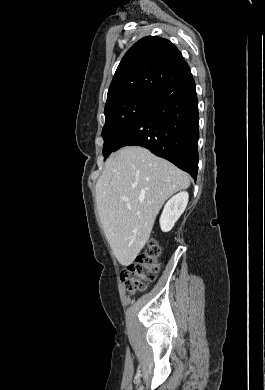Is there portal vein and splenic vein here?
<instances>
[{
	"mask_svg": "<svg viewBox=\"0 0 265 390\" xmlns=\"http://www.w3.org/2000/svg\"><path fill=\"white\" fill-rule=\"evenodd\" d=\"M122 200H123V201H125V202H127V201H128V199H127V198H125V197H123V198H122Z\"/></svg>",
	"mask_w": 265,
	"mask_h": 390,
	"instance_id": "18ae733b",
	"label": "portal vein and splenic vein"
}]
</instances>
